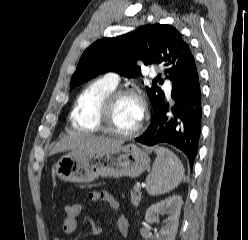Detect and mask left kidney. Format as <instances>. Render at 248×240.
Instances as JSON below:
<instances>
[{
	"mask_svg": "<svg viewBox=\"0 0 248 240\" xmlns=\"http://www.w3.org/2000/svg\"><path fill=\"white\" fill-rule=\"evenodd\" d=\"M182 197L173 195L151 205L145 215V220L148 223H155L159 215H168L165 225L161 228L157 240H175V236L179 225V216L182 207Z\"/></svg>",
	"mask_w": 248,
	"mask_h": 240,
	"instance_id": "left-kidney-1",
	"label": "left kidney"
}]
</instances>
